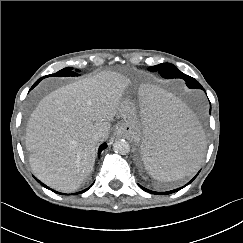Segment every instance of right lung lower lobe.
I'll return each instance as SVG.
<instances>
[{"label":"right lung lower lobe","instance_id":"1","mask_svg":"<svg viewBox=\"0 0 243 243\" xmlns=\"http://www.w3.org/2000/svg\"><path fill=\"white\" fill-rule=\"evenodd\" d=\"M41 80H42V78L39 79V80L34 84V86H36ZM106 147H107V144H106V143H103V144L99 147V149H98V155H100L101 151L104 150ZM38 182H40V181H38ZM40 183H41V182H40ZM41 185L44 186V187H46V188H48V187H47L46 185H44L43 183H41ZM87 189H88V188H87ZM87 189H85V190H83V191H81V192H78L77 194H79V193H83V192H85ZM53 191H54V190H53ZM54 192H56V191H54ZM56 193H58V194H62V193H59V192H56Z\"/></svg>","mask_w":243,"mask_h":243}]
</instances>
